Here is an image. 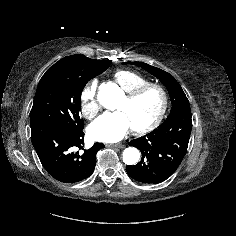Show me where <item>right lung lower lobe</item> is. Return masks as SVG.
Segmentation results:
<instances>
[{
    "label": "right lung lower lobe",
    "mask_w": 236,
    "mask_h": 236,
    "mask_svg": "<svg viewBox=\"0 0 236 236\" xmlns=\"http://www.w3.org/2000/svg\"><path fill=\"white\" fill-rule=\"evenodd\" d=\"M82 130L71 131L46 122L31 123V140L40 162L60 182H79L91 176L95 169L96 153L104 144L95 143L90 149H83Z\"/></svg>",
    "instance_id": "1"
}]
</instances>
